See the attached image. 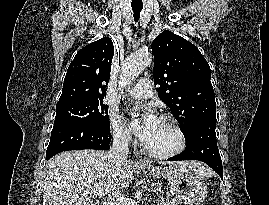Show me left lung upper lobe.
<instances>
[{"label": "left lung upper lobe", "mask_w": 269, "mask_h": 205, "mask_svg": "<svg viewBox=\"0 0 269 205\" xmlns=\"http://www.w3.org/2000/svg\"><path fill=\"white\" fill-rule=\"evenodd\" d=\"M151 48L158 96L172 110L184 136L201 122H216L211 70L198 48L168 30L154 39Z\"/></svg>", "instance_id": "5c2ea615"}]
</instances>
